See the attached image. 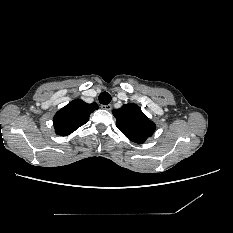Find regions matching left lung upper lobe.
Listing matches in <instances>:
<instances>
[{
    "label": "left lung upper lobe",
    "instance_id": "left-lung-upper-lobe-1",
    "mask_svg": "<svg viewBox=\"0 0 233 233\" xmlns=\"http://www.w3.org/2000/svg\"><path fill=\"white\" fill-rule=\"evenodd\" d=\"M117 128L131 141L142 144L155 131V124L136 104L129 103L113 110Z\"/></svg>",
    "mask_w": 233,
    "mask_h": 233
}]
</instances>
